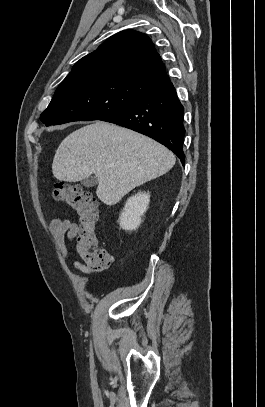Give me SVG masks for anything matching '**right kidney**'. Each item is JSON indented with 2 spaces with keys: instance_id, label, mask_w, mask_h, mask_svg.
I'll return each mask as SVG.
<instances>
[{
  "instance_id": "obj_1",
  "label": "right kidney",
  "mask_w": 265,
  "mask_h": 407,
  "mask_svg": "<svg viewBox=\"0 0 265 407\" xmlns=\"http://www.w3.org/2000/svg\"><path fill=\"white\" fill-rule=\"evenodd\" d=\"M149 193H138L129 198L119 217L120 227L126 231L136 230L142 222V216L148 209Z\"/></svg>"
}]
</instances>
